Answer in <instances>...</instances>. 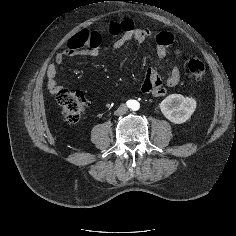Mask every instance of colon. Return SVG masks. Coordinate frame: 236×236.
Instances as JSON below:
<instances>
[{"label":"colon","mask_w":236,"mask_h":236,"mask_svg":"<svg viewBox=\"0 0 236 236\" xmlns=\"http://www.w3.org/2000/svg\"><path fill=\"white\" fill-rule=\"evenodd\" d=\"M187 68L190 75L198 80L202 79L206 72L204 63L195 58L188 61ZM55 95L64 120L68 123H77L87 107L84 95L63 87L58 89Z\"/></svg>","instance_id":"1"}]
</instances>
